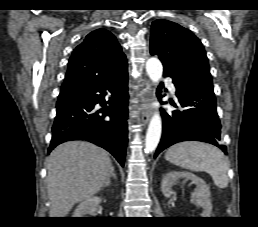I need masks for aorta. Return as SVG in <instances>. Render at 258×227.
Masks as SVG:
<instances>
[{
    "label": "aorta",
    "instance_id": "762f6f07",
    "mask_svg": "<svg viewBox=\"0 0 258 227\" xmlns=\"http://www.w3.org/2000/svg\"><path fill=\"white\" fill-rule=\"evenodd\" d=\"M146 72L153 83H158L162 77L163 67L157 58H150L146 62ZM162 131L161 117L156 112L149 123L146 139H145V152H153L160 141Z\"/></svg>",
    "mask_w": 258,
    "mask_h": 227
}]
</instances>
